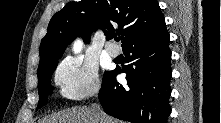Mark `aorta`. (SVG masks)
Returning <instances> with one entry per match:
<instances>
[{
	"label": "aorta",
	"mask_w": 221,
	"mask_h": 123,
	"mask_svg": "<svg viewBox=\"0 0 221 123\" xmlns=\"http://www.w3.org/2000/svg\"><path fill=\"white\" fill-rule=\"evenodd\" d=\"M73 50L75 52H79L81 50V43L80 42H76L73 46Z\"/></svg>",
	"instance_id": "762f6f07"
}]
</instances>
